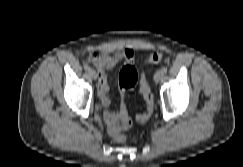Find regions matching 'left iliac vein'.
Wrapping results in <instances>:
<instances>
[{
  "label": "left iliac vein",
  "instance_id": "4c4485c4",
  "mask_svg": "<svg viewBox=\"0 0 243 167\" xmlns=\"http://www.w3.org/2000/svg\"><path fill=\"white\" fill-rule=\"evenodd\" d=\"M164 77V73L161 70L156 71L154 74L155 82H159Z\"/></svg>",
  "mask_w": 243,
  "mask_h": 167
}]
</instances>
